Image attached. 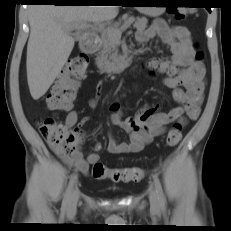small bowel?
<instances>
[{
    "instance_id": "c3829d8e",
    "label": "small bowel",
    "mask_w": 231,
    "mask_h": 231,
    "mask_svg": "<svg viewBox=\"0 0 231 231\" xmlns=\"http://www.w3.org/2000/svg\"><path fill=\"white\" fill-rule=\"evenodd\" d=\"M154 37H158L169 47L172 55L168 59L151 60L146 66L152 74L160 73L165 76L164 83L172 89V98L178 106L169 112H158V105L145 104L136 116L124 119L122 105L113 102L109 107L111 122L126 131L129 140L118 143L110 134L107 148L109 153L140 152L146 144L163 134L171 122L178 119L196 120L199 116L205 90V70L195 59L190 32L184 26H169L164 20L156 19L148 29L138 32L136 39L138 43L144 44ZM92 106H95L94 102ZM77 122V112L69 111L64 125L72 128ZM48 143L67 165L84 175L88 174L90 164L99 161L100 144L85 158L78 145L72 146L67 152L65 148L55 146L49 141Z\"/></svg>"
}]
</instances>
